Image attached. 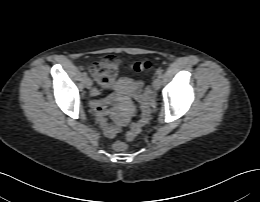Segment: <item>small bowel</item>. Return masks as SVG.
<instances>
[{"mask_svg":"<svg viewBox=\"0 0 260 202\" xmlns=\"http://www.w3.org/2000/svg\"><path fill=\"white\" fill-rule=\"evenodd\" d=\"M101 89H94L91 108L104 134L109 138H114L125 127L133 116V107L120 99L115 91V82L101 84ZM102 90L112 91L105 98L98 99ZM112 105H116L113 112L109 111Z\"/></svg>","mask_w":260,"mask_h":202,"instance_id":"small-bowel-1","label":"small bowel"}]
</instances>
